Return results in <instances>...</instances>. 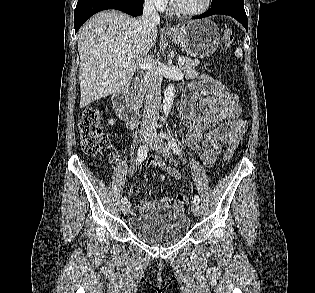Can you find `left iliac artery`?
Instances as JSON below:
<instances>
[{"mask_svg": "<svg viewBox=\"0 0 315 293\" xmlns=\"http://www.w3.org/2000/svg\"><path fill=\"white\" fill-rule=\"evenodd\" d=\"M163 137L168 140V145L172 149V151L175 154L180 155L181 154V149H180L179 145L175 142V140L174 139H170L168 136L166 137L165 135H163ZM194 201L197 202L198 204L200 203V198H199L198 195L194 196Z\"/></svg>", "mask_w": 315, "mask_h": 293, "instance_id": "obj_1", "label": "left iliac artery"}]
</instances>
